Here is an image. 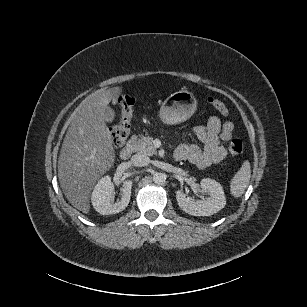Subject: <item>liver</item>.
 <instances>
[{"label": "liver", "instance_id": "obj_1", "mask_svg": "<svg viewBox=\"0 0 307 307\" xmlns=\"http://www.w3.org/2000/svg\"><path fill=\"white\" fill-rule=\"evenodd\" d=\"M117 89L97 92L84 99L72 113L58 160L63 193L80 211L89 210V195L97 179L113 163V146L105 124L107 104Z\"/></svg>", "mask_w": 307, "mask_h": 307}]
</instances>
